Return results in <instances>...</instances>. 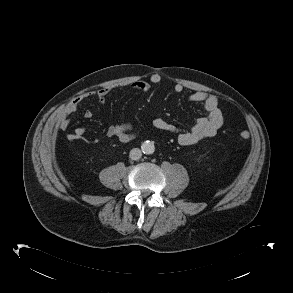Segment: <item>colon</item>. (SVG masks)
<instances>
[{
  "label": "colon",
  "mask_w": 293,
  "mask_h": 293,
  "mask_svg": "<svg viewBox=\"0 0 293 293\" xmlns=\"http://www.w3.org/2000/svg\"><path fill=\"white\" fill-rule=\"evenodd\" d=\"M249 136H250L249 132L246 131V130H244V131H241V132L239 133L238 138H239V140H241V141H245V140H247V139L249 138Z\"/></svg>",
  "instance_id": "1"
}]
</instances>
